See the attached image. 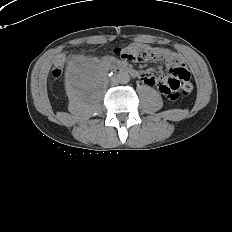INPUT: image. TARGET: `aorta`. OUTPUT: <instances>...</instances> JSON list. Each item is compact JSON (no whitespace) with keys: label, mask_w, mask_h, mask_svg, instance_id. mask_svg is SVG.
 Wrapping results in <instances>:
<instances>
[{"label":"aorta","mask_w":232,"mask_h":232,"mask_svg":"<svg viewBox=\"0 0 232 232\" xmlns=\"http://www.w3.org/2000/svg\"><path fill=\"white\" fill-rule=\"evenodd\" d=\"M117 80L121 84H126L130 80L129 74L127 72H120L117 74Z\"/></svg>","instance_id":"obj_1"}]
</instances>
